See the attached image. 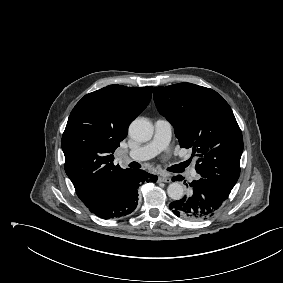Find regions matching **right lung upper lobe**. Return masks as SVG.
Listing matches in <instances>:
<instances>
[{"mask_svg": "<svg viewBox=\"0 0 283 283\" xmlns=\"http://www.w3.org/2000/svg\"><path fill=\"white\" fill-rule=\"evenodd\" d=\"M152 89L109 85L85 95L72 110L62 137L65 171L86 206L120 186L131 171L114 165L113 153L150 102Z\"/></svg>", "mask_w": 283, "mask_h": 283, "instance_id": "right-lung-upper-lobe-1", "label": "right lung upper lobe"}]
</instances>
